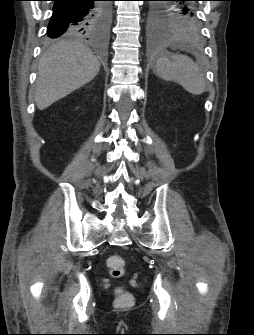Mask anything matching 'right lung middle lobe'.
I'll return each instance as SVG.
<instances>
[{"label": "right lung middle lobe", "mask_w": 254, "mask_h": 335, "mask_svg": "<svg viewBox=\"0 0 254 335\" xmlns=\"http://www.w3.org/2000/svg\"><path fill=\"white\" fill-rule=\"evenodd\" d=\"M110 14H111L110 3L102 2L100 5L99 17L91 25L89 35L105 32L107 30V26L110 21ZM68 35H84V33H81L78 31L76 33H72Z\"/></svg>", "instance_id": "dd1d6c3e"}]
</instances>
